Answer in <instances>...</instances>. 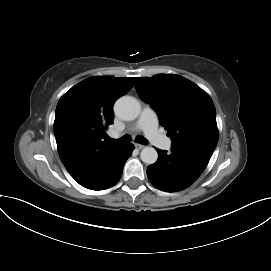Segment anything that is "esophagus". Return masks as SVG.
Instances as JSON below:
<instances>
[{
  "instance_id": "1",
  "label": "esophagus",
  "mask_w": 271,
  "mask_h": 271,
  "mask_svg": "<svg viewBox=\"0 0 271 271\" xmlns=\"http://www.w3.org/2000/svg\"><path fill=\"white\" fill-rule=\"evenodd\" d=\"M135 147H136L138 150H142V149H144V148H145V146H144V145L139 144V143H135Z\"/></svg>"
}]
</instances>
